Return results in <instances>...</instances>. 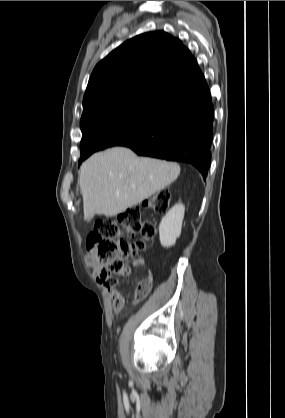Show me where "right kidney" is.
I'll return each instance as SVG.
<instances>
[{"label": "right kidney", "mask_w": 285, "mask_h": 418, "mask_svg": "<svg viewBox=\"0 0 285 418\" xmlns=\"http://www.w3.org/2000/svg\"><path fill=\"white\" fill-rule=\"evenodd\" d=\"M185 207L183 204H176L162 218L159 225V238L163 247H171L179 238L182 229Z\"/></svg>", "instance_id": "obj_1"}]
</instances>
